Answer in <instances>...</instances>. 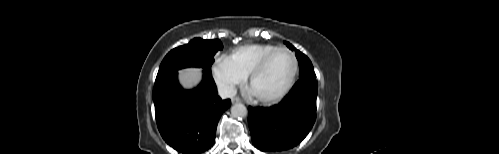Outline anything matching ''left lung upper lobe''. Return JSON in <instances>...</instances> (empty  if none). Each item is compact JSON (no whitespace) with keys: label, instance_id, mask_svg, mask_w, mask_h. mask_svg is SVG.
I'll use <instances>...</instances> for the list:
<instances>
[{"label":"left lung upper lobe","instance_id":"obj_1","mask_svg":"<svg viewBox=\"0 0 499 154\" xmlns=\"http://www.w3.org/2000/svg\"><path fill=\"white\" fill-rule=\"evenodd\" d=\"M288 48L291 50H294L296 52V57L299 62V71H300V78L301 77H311V78H316L315 72L313 65L309 58L301 53L299 50H297L294 46H292L289 42H284Z\"/></svg>","mask_w":499,"mask_h":154}]
</instances>
